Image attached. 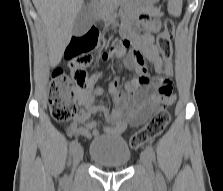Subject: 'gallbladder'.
<instances>
[{"label":"gallbladder","mask_w":223,"mask_h":191,"mask_svg":"<svg viewBox=\"0 0 223 191\" xmlns=\"http://www.w3.org/2000/svg\"><path fill=\"white\" fill-rule=\"evenodd\" d=\"M93 22L92 10L88 5H83L78 12L72 27V33L76 36L84 35Z\"/></svg>","instance_id":"1"}]
</instances>
